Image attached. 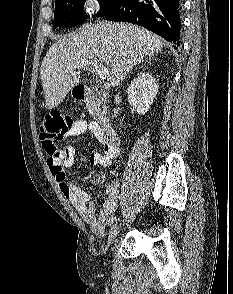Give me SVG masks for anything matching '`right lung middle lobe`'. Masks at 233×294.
Wrapping results in <instances>:
<instances>
[{"instance_id":"dd1d6c3e","label":"right lung middle lobe","mask_w":233,"mask_h":294,"mask_svg":"<svg viewBox=\"0 0 233 294\" xmlns=\"http://www.w3.org/2000/svg\"><path fill=\"white\" fill-rule=\"evenodd\" d=\"M100 12L98 16L108 14L116 0H98ZM85 0H55V13L53 27H72L85 21L83 6Z\"/></svg>"}]
</instances>
